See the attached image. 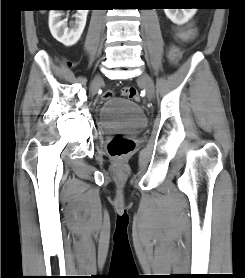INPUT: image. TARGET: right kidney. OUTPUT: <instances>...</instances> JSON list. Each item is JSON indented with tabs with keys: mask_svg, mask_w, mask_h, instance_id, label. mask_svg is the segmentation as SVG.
Returning a JSON list of instances; mask_svg holds the SVG:
<instances>
[{
	"mask_svg": "<svg viewBox=\"0 0 245 278\" xmlns=\"http://www.w3.org/2000/svg\"><path fill=\"white\" fill-rule=\"evenodd\" d=\"M88 10H77L76 20L67 26V19L62 20L63 10H50L49 29L52 36L64 44L72 46L80 39L86 25Z\"/></svg>",
	"mask_w": 245,
	"mask_h": 278,
	"instance_id": "ca27d5eb",
	"label": "right kidney"
}]
</instances>
